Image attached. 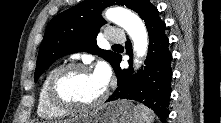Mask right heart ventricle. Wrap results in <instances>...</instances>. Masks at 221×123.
Returning a JSON list of instances; mask_svg holds the SVG:
<instances>
[{
    "label": "right heart ventricle",
    "mask_w": 221,
    "mask_h": 123,
    "mask_svg": "<svg viewBox=\"0 0 221 123\" xmlns=\"http://www.w3.org/2000/svg\"><path fill=\"white\" fill-rule=\"evenodd\" d=\"M55 69H52L47 73L40 86L38 94L37 113L41 118L48 120L61 119L67 116L68 114L67 111L61 110L54 106L48 97L47 85L49 78Z\"/></svg>",
    "instance_id": "e07e8e85"
}]
</instances>
